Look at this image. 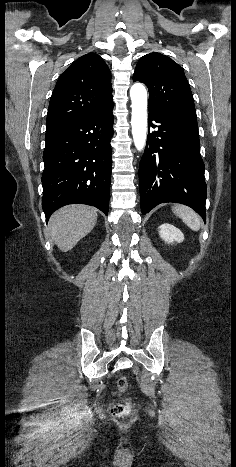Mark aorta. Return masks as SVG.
Instances as JSON below:
<instances>
[{
	"label": "aorta",
	"instance_id": "obj_1",
	"mask_svg": "<svg viewBox=\"0 0 236 467\" xmlns=\"http://www.w3.org/2000/svg\"><path fill=\"white\" fill-rule=\"evenodd\" d=\"M132 102L131 126L136 149L142 151L147 139V91L141 83H135L130 89Z\"/></svg>",
	"mask_w": 236,
	"mask_h": 467
}]
</instances>
